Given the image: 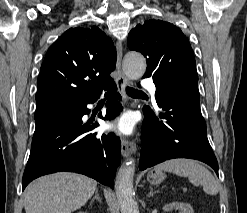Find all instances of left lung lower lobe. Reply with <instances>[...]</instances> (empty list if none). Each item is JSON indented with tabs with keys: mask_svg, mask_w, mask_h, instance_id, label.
I'll use <instances>...</instances> for the list:
<instances>
[{
	"mask_svg": "<svg viewBox=\"0 0 247 213\" xmlns=\"http://www.w3.org/2000/svg\"><path fill=\"white\" fill-rule=\"evenodd\" d=\"M157 105L159 111L144 114L139 169L169 159L190 158L208 164L218 175V162L207 139L200 103L163 96Z\"/></svg>",
	"mask_w": 247,
	"mask_h": 213,
	"instance_id": "0a47b994",
	"label": "left lung lower lobe"
}]
</instances>
